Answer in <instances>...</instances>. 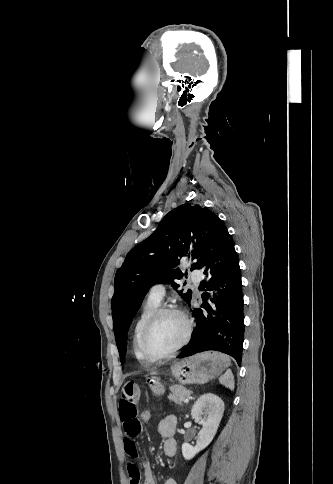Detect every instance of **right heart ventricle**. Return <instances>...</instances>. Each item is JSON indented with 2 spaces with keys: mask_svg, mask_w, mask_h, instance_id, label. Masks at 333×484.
Masks as SVG:
<instances>
[{
  "mask_svg": "<svg viewBox=\"0 0 333 484\" xmlns=\"http://www.w3.org/2000/svg\"><path fill=\"white\" fill-rule=\"evenodd\" d=\"M160 307V303L155 302L151 299H147L146 302L144 303L140 314L135 322L134 329H133V334H132V348L135 357L139 362H141L144 365H149L152 363L150 360H148L144 354L142 353L141 350V336H142V331L143 328L150 318V316Z\"/></svg>",
  "mask_w": 333,
  "mask_h": 484,
  "instance_id": "1",
  "label": "right heart ventricle"
}]
</instances>
